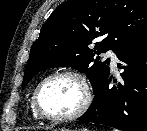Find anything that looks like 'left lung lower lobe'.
I'll use <instances>...</instances> for the list:
<instances>
[{"mask_svg":"<svg viewBox=\"0 0 147 131\" xmlns=\"http://www.w3.org/2000/svg\"><path fill=\"white\" fill-rule=\"evenodd\" d=\"M116 55L121 61L120 82L109 89L108 74L89 109L77 120L122 131H147V31Z\"/></svg>","mask_w":147,"mask_h":131,"instance_id":"1","label":"left lung lower lobe"}]
</instances>
